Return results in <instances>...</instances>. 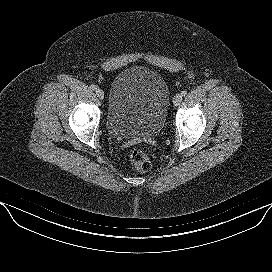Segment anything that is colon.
<instances>
[{"instance_id":"5ec220e1","label":"colon","mask_w":272,"mask_h":272,"mask_svg":"<svg viewBox=\"0 0 272 272\" xmlns=\"http://www.w3.org/2000/svg\"><path fill=\"white\" fill-rule=\"evenodd\" d=\"M129 160L135 170L147 172L151 169L152 163L149 156L140 149H134L129 155Z\"/></svg>"}]
</instances>
